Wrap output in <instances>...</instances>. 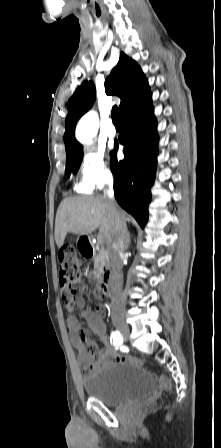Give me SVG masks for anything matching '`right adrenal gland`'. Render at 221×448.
I'll list each match as a JSON object with an SVG mask.
<instances>
[{
	"label": "right adrenal gland",
	"mask_w": 221,
	"mask_h": 448,
	"mask_svg": "<svg viewBox=\"0 0 221 448\" xmlns=\"http://www.w3.org/2000/svg\"><path fill=\"white\" fill-rule=\"evenodd\" d=\"M130 243H131L130 233H127V247L130 245Z\"/></svg>",
	"instance_id": "2a0ac1e0"
}]
</instances>
